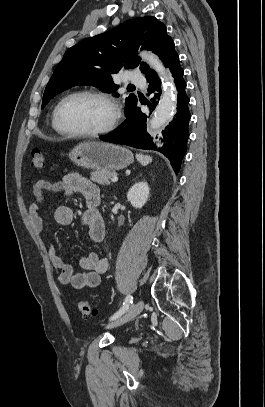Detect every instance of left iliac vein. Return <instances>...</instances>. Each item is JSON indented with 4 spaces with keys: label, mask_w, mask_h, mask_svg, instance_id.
<instances>
[{
    "label": "left iliac vein",
    "mask_w": 265,
    "mask_h": 407,
    "mask_svg": "<svg viewBox=\"0 0 265 407\" xmlns=\"http://www.w3.org/2000/svg\"><path fill=\"white\" fill-rule=\"evenodd\" d=\"M143 308H144V302L142 300L138 301L123 316H121L120 318H118L115 321L108 324L106 326V329L118 327L120 325H123V324L129 322L134 317H136L138 314H140L141 311L143 310Z\"/></svg>",
    "instance_id": "4c4485c4"
}]
</instances>
